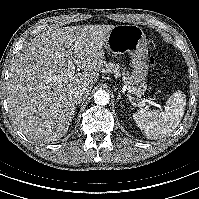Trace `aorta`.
I'll use <instances>...</instances> for the list:
<instances>
[{"instance_id":"aorta-1","label":"aorta","mask_w":199,"mask_h":199,"mask_svg":"<svg viewBox=\"0 0 199 199\" xmlns=\"http://www.w3.org/2000/svg\"><path fill=\"white\" fill-rule=\"evenodd\" d=\"M110 101V96L105 90H98L94 94V102L98 105H107Z\"/></svg>"}]
</instances>
